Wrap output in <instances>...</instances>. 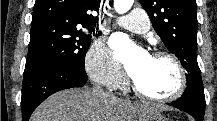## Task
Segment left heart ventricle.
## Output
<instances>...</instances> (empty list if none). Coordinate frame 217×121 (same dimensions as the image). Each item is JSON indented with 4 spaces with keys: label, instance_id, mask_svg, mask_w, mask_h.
Returning a JSON list of instances; mask_svg holds the SVG:
<instances>
[{
    "label": "left heart ventricle",
    "instance_id": "1",
    "mask_svg": "<svg viewBox=\"0 0 217 121\" xmlns=\"http://www.w3.org/2000/svg\"><path fill=\"white\" fill-rule=\"evenodd\" d=\"M133 78L143 91L157 96L171 93L177 84L174 66L166 59L153 57L148 58Z\"/></svg>",
    "mask_w": 217,
    "mask_h": 121
}]
</instances>
